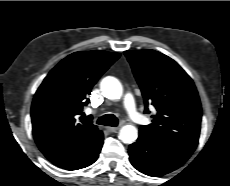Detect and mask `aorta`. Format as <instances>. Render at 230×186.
<instances>
[{"instance_id":"762f6f07","label":"aorta","mask_w":230,"mask_h":186,"mask_svg":"<svg viewBox=\"0 0 230 186\" xmlns=\"http://www.w3.org/2000/svg\"><path fill=\"white\" fill-rule=\"evenodd\" d=\"M100 89L103 95L111 100L120 99L123 93V88L120 81L111 76L102 79ZM137 137L138 131L133 125H125L119 131V139L125 144L135 142Z\"/></svg>"}]
</instances>
